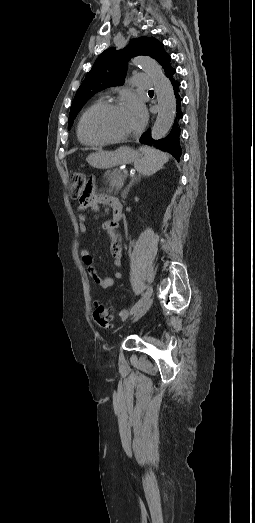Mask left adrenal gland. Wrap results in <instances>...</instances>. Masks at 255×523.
<instances>
[{
  "label": "left adrenal gland",
  "mask_w": 255,
  "mask_h": 523,
  "mask_svg": "<svg viewBox=\"0 0 255 523\" xmlns=\"http://www.w3.org/2000/svg\"><path fill=\"white\" fill-rule=\"evenodd\" d=\"M140 176H137V178H131V182H129L127 188H125V190H123L122 192V198L123 200H125V198H127V194L131 188V186H133V184H135L136 180H139Z\"/></svg>",
  "instance_id": "a2214340"
}]
</instances>
